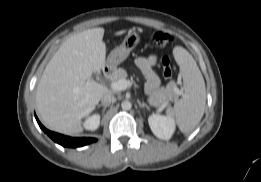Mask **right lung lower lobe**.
Returning a JSON list of instances; mask_svg holds the SVG:
<instances>
[{
  "label": "right lung lower lobe",
  "instance_id": "right-lung-lower-lobe-1",
  "mask_svg": "<svg viewBox=\"0 0 261 182\" xmlns=\"http://www.w3.org/2000/svg\"><path fill=\"white\" fill-rule=\"evenodd\" d=\"M36 117V116H35ZM36 120L40 126V128L51 138L53 139L56 143L64 146V147H81L84 145H87L89 143L95 142V138H72L68 136H64L55 132H51L47 130L38 120L36 117Z\"/></svg>",
  "mask_w": 261,
  "mask_h": 182
}]
</instances>
